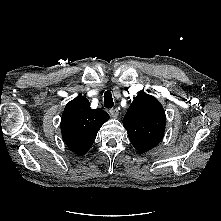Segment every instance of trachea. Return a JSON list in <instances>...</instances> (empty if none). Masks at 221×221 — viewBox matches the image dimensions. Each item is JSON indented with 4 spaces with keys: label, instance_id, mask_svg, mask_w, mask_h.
I'll return each instance as SVG.
<instances>
[{
    "label": "trachea",
    "instance_id": "1",
    "mask_svg": "<svg viewBox=\"0 0 221 221\" xmlns=\"http://www.w3.org/2000/svg\"><path fill=\"white\" fill-rule=\"evenodd\" d=\"M104 106L108 109L114 106L112 94L110 91H106L104 94Z\"/></svg>",
    "mask_w": 221,
    "mask_h": 221
}]
</instances>
